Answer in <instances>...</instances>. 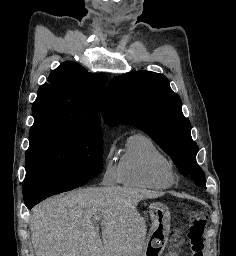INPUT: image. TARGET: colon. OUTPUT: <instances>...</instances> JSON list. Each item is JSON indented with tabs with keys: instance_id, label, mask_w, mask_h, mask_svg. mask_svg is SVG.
Returning a JSON list of instances; mask_svg holds the SVG:
<instances>
[{
	"instance_id": "5ec220e1",
	"label": "colon",
	"mask_w": 236,
	"mask_h": 256,
	"mask_svg": "<svg viewBox=\"0 0 236 256\" xmlns=\"http://www.w3.org/2000/svg\"><path fill=\"white\" fill-rule=\"evenodd\" d=\"M190 221L188 230L189 248L191 256H204L203 234L207 226V211L204 206H197L194 210L187 213ZM181 241V237H177Z\"/></svg>"
}]
</instances>
